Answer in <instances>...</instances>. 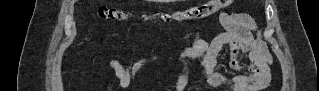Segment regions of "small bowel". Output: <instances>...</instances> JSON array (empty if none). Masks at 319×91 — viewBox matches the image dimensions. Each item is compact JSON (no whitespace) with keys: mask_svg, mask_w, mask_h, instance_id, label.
<instances>
[{"mask_svg":"<svg viewBox=\"0 0 319 91\" xmlns=\"http://www.w3.org/2000/svg\"><path fill=\"white\" fill-rule=\"evenodd\" d=\"M220 22L225 32L212 41L204 40L199 33H195L192 44L182 50L177 57L182 66L183 78L188 73L187 61L197 60L203 70L205 82L218 90L224 91H260L270 82V72L265 65V58L269 57L264 42L254 36L256 24L253 19L241 13H223ZM228 50L230 68L240 71L245 66L241 64L242 54L248 55L249 75H235L228 77L220 71L218 55ZM156 57L145 58L131 62L128 66L116 59L109 62L110 68L116 75L119 85L129 89L137 71Z\"/></svg>","mask_w":319,"mask_h":91,"instance_id":"small-bowel-1","label":"small bowel"}]
</instances>
